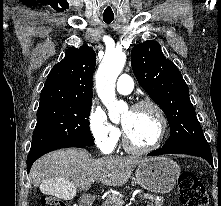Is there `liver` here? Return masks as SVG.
<instances>
[{
    "mask_svg": "<svg viewBox=\"0 0 221 206\" xmlns=\"http://www.w3.org/2000/svg\"><path fill=\"white\" fill-rule=\"evenodd\" d=\"M146 159L136 157H102L92 159L84 149H65L46 154L37 160L31 169V181L43 193H49V183H63L68 188V197L76 189L87 190L95 181L104 185H124L137 165Z\"/></svg>",
    "mask_w": 221,
    "mask_h": 206,
    "instance_id": "1",
    "label": "liver"
}]
</instances>
